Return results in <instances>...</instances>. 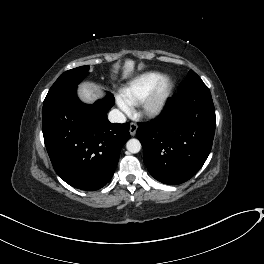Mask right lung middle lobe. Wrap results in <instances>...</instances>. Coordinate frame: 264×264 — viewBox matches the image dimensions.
Instances as JSON below:
<instances>
[{
  "label": "right lung middle lobe",
  "instance_id": "dd1d6c3e",
  "mask_svg": "<svg viewBox=\"0 0 264 264\" xmlns=\"http://www.w3.org/2000/svg\"><path fill=\"white\" fill-rule=\"evenodd\" d=\"M88 70L89 66H81L64 72L48 91L44 103L76 88L82 79L88 75Z\"/></svg>",
  "mask_w": 264,
  "mask_h": 264
}]
</instances>
